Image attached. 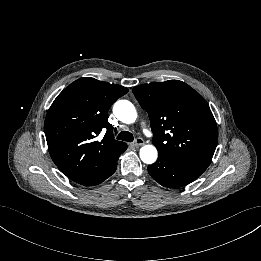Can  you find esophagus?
Wrapping results in <instances>:
<instances>
[{"label": "esophagus", "mask_w": 261, "mask_h": 261, "mask_svg": "<svg viewBox=\"0 0 261 261\" xmlns=\"http://www.w3.org/2000/svg\"><path fill=\"white\" fill-rule=\"evenodd\" d=\"M144 144V141L142 138H137L134 142H133V145L134 146H141Z\"/></svg>", "instance_id": "obj_1"}]
</instances>
